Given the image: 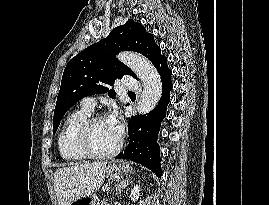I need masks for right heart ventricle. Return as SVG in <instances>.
<instances>
[{
	"label": "right heart ventricle",
	"mask_w": 269,
	"mask_h": 205,
	"mask_svg": "<svg viewBox=\"0 0 269 205\" xmlns=\"http://www.w3.org/2000/svg\"><path fill=\"white\" fill-rule=\"evenodd\" d=\"M91 112L80 108L71 112L65 119L58 136V148L61 157L67 162H81L85 157L79 150L76 137L81 125L90 117Z\"/></svg>",
	"instance_id": "right-heart-ventricle-1"
}]
</instances>
